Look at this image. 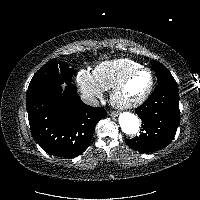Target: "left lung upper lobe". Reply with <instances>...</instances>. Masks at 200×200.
Instances as JSON below:
<instances>
[{
  "label": "left lung upper lobe",
  "instance_id": "5c2ea615",
  "mask_svg": "<svg viewBox=\"0 0 200 200\" xmlns=\"http://www.w3.org/2000/svg\"><path fill=\"white\" fill-rule=\"evenodd\" d=\"M153 70L157 76L158 84L160 83H176L171 73L160 62L152 61Z\"/></svg>",
  "mask_w": 200,
  "mask_h": 200
}]
</instances>
